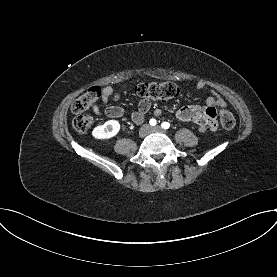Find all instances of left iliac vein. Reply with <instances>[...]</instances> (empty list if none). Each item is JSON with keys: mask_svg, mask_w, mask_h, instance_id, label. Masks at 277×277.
<instances>
[{"mask_svg": "<svg viewBox=\"0 0 277 277\" xmlns=\"http://www.w3.org/2000/svg\"><path fill=\"white\" fill-rule=\"evenodd\" d=\"M151 132H160V133H166V131L164 129H162L160 126H155L150 128Z\"/></svg>", "mask_w": 277, "mask_h": 277, "instance_id": "left-iliac-vein-1", "label": "left iliac vein"}]
</instances>
